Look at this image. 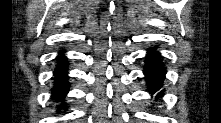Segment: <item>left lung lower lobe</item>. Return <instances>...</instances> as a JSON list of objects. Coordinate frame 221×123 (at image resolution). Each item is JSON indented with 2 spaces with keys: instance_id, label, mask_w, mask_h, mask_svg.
<instances>
[{
  "instance_id": "0a47b994",
  "label": "left lung lower lobe",
  "mask_w": 221,
  "mask_h": 123,
  "mask_svg": "<svg viewBox=\"0 0 221 123\" xmlns=\"http://www.w3.org/2000/svg\"><path fill=\"white\" fill-rule=\"evenodd\" d=\"M144 75L150 94L157 93L156 98L164 95V91L161 90L163 86L164 76L166 74V68L162 62V57L155 49H149L145 58Z\"/></svg>"
}]
</instances>
